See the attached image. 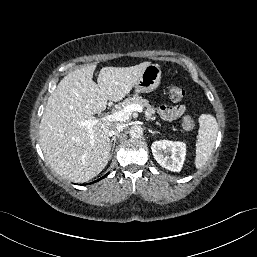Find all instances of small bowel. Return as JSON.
<instances>
[{
    "label": "small bowel",
    "instance_id": "1",
    "mask_svg": "<svg viewBox=\"0 0 257 257\" xmlns=\"http://www.w3.org/2000/svg\"><path fill=\"white\" fill-rule=\"evenodd\" d=\"M186 110L184 105L161 106L159 112L165 120H173L180 117Z\"/></svg>",
    "mask_w": 257,
    "mask_h": 257
}]
</instances>
